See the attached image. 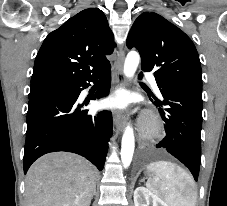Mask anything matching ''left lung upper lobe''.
I'll list each match as a JSON object with an SVG mask.
<instances>
[{
    "label": "left lung upper lobe",
    "mask_w": 227,
    "mask_h": 206,
    "mask_svg": "<svg viewBox=\"0 0 227 206\" xmlns=\"http://www.w3.org/2000/svg\"><path fill=\"white\" fill-rule=\"evenodd\" d=\"M126 44L139 51L141 69L153 71L156 82L202 91L201 65L192 40L161 15L142 13Z\"/></svg>",
    "instance_id": "5c2ea615"
}]
</instances>
